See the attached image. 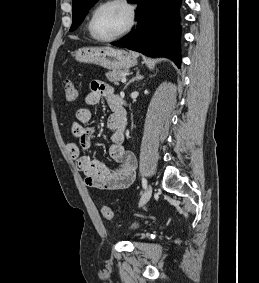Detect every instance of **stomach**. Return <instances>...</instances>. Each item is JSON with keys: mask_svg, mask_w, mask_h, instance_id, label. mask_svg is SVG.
Wrapping results in <instances>:
<instances>
[{"mask_svg": "<svg viewBox=\"0 0 259 283\" xmlns=\"http://www.w3.org/2000/svg\"><path fill=\"white\" fill-rule=\"evenodd\" d=\"M75 59L111 70L129 69L136 65L134 55L123 49L106 47H83L75 52Z\"/></svg>", "mask_w": 259, "mask_h": 283, "instance_id": "1", "label": "stomach"}]
</instances>
